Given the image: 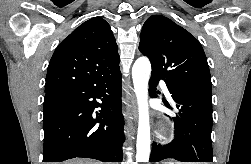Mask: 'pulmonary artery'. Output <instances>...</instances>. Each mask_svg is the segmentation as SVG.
Returning <instances> with one entry per match:
<instances>
[{"label":"pulmonary artery","mask_w":251,"mask_h":164,"mask_svg":"<svg viewBox=\"0 0 251 164\" xmlns=\"http://www.w3.org/2000/svg\"><path fill=\"white\" fill-rule=\"evenodd\" d=\"M162 88H163L164 92L166 93V95L170 96V93H169V91L167 89V86H166V84L164 82H162Z\"/></svg>","instance_id":"1"}]
</instances>
